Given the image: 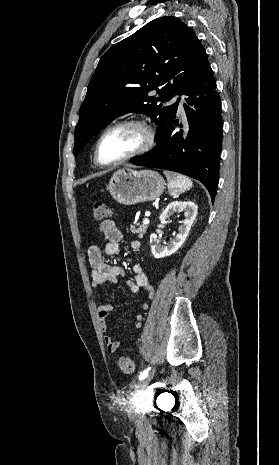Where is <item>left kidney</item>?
Returning a JSON list of instances; mask_svg holds the SVG:
<instances>
[{
	"label": "left kidney",
	"instance_id": "left-kidney-1",
	"mask_svg": "<svg viewBox=\"0 0 279 465\" xmlns=\"http://www.w3.org/2000/svg\"><path fill=\"white\" fill-rule=\"evenodd\" d=\"M198 207L191 201H174L171 202L160 215V222L166 223L170 216L176 213L184 212L185 219L178 228V233L167 245H162L157 234L150 236L151 252L157 259L164 258L174 254L185 242L191 226L197 216Z\"/></svg>",
	"mask_w": 279,
	"mask_h": 465
}]
</instances>
